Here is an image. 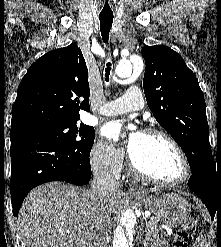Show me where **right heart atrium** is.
I'll list each match as a JSON object with an SVG mask.
<instances>
[{
    "label": "right heart atrium",
    "instance_id": "obj_1",
    "mask_svg": "<svg viewBox=\"0 0 221 247\" xmlns=\"http://www.w3.org/2000/svg\"><path fill=\"white\" fill-rule=\"evenodd\" d=\"M93 169L118 176L123 170L125 153L112 145L98 141L90 151Z\"/></svg>",
    "mask_w": 221,
    "mask_h": 247
}]
</instances>
